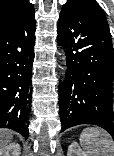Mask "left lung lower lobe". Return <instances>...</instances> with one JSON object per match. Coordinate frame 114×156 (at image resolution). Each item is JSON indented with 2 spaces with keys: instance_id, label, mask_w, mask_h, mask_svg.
Listing matches in <instances>:
<instances>
[{
  "instance_id": "obj_1",
  "label": "left lung lower lobe",
  "mask_w": 114,
  "mask_h": 156,
  "mask_svg": "<svg viewBox=\"0 0 114 156\" xmlns=\"http://www.w3.org/2000/svg\"><path fill=\"white\" fill-rule=\"evenodd\" d=\"M58 38L67 57V71L59 88L64 131L79 124L113 127V45L107 21L87 5L67 2L58 20Z\"/></svg>"
}]
</instances>
